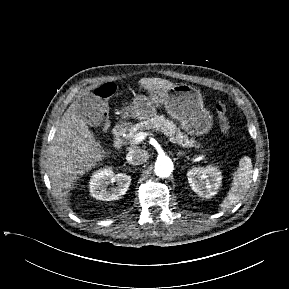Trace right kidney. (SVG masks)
Wrapping results in <instances>:
<instances>
[{
  "label": "right kidney",
  "instance_id": "right-kidney-1",
  "mask_svg": "<svg viewBox=\"0 0 289 289\" xmlns=\"http://www.w3.org/2000/svg\"><path fill=\"white\" fill-rule=\"evenodd\" d=\"M109 183H116V187L107 189ZM131 183V177L125 173L114 174L110 167L96 171L90 179L91 196L97 200H118L126 193Z\"/></svg>",
  "mask_w": 289,
  "mask_h": 289
}]
</instances>
